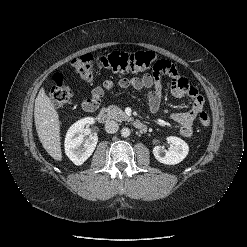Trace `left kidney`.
Wrapping results in <instances>:
<instances>
[{
  "instance_id": "1",
  "label": "left kidney",
  "mask_w": 247,
  "mask_h": 247,
  "mask_svg": "<svg viewBox=\"0 0 247 247\" xmlns=\"http://www.w3.org/2000/svg\"><path fill=\"white\" fill-rule=\"evenodd\" d=\"M167 141L171 147L166 150L164 147L155 146L153 149L154 157L160 163L167 165H175L183 161L189 152L188 144L184 140L174 136L168 137Z\"/></svg>"
}]
</instances>
